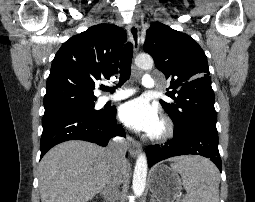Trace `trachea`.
<instances>
[{"label": "trachea", "instance_id": "3493384b", "mask_svg": "<svg viewBox=\"0 0 255 202\" xmlns=\"http://www.w3.org/2000/svg\"><path fill=\"white\" fill-rule=\"evenodd\" d=\"M133 56V45L128 42L124 49L120 60V82L117 87L121 86L125 81L129 80L131 75V62ZM116 87H102L101 90L113 93Z\"/></svg>", "mask_w": 255, "mask_h": 202}]
</instances>
